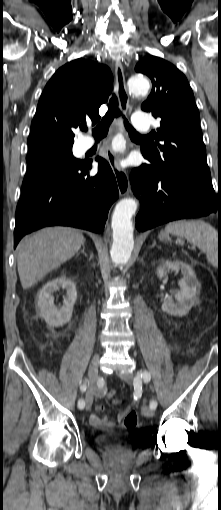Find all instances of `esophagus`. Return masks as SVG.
Here are the masks:
<instances>
[{
	"label": "esophagus",
	"mask_w": 221,
	"mask_h": 510,
	"mask_svg": "<svg viewBox=\"0 0 221 510\" xmlns=\"http://www.w3.org/2000/svg\"><path fill=\"white\" fill-rule=\"evenodd\" d=\"M115 77L117 83V97L119 102V108L123 113H126L129 107V95L126 87L124 70L120 62L115 64ZM116 127H121V121L115 122ZM106 158L114 173L119 194L125 196L130 191L129 178L126 171L119 165L116 155L113 153L110 147H106Z\"/></svg>",
	"instance_id": "1"
}]
</instances>
